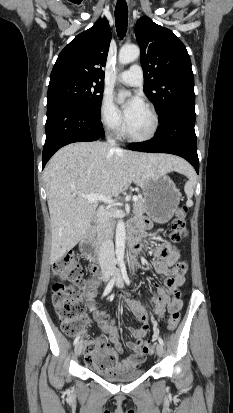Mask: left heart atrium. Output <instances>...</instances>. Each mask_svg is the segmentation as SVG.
<instances>
[{
  "label": "left heart atrium",
  "mask_w": 233,
  "mask_h": 413,
  "mask_svg": "<svg viewBox=\"0 0 233 413\" xmlns=\"http://www.w3.org/2000/svg\"><path fill=\"white\" fill-rule=\"evenodd\" d=\"M142 107V99L138 96H133L124 109V118L126 123H128Z\"/></svg>",
  "instance_id": "obj_1"
}]
</instances>
